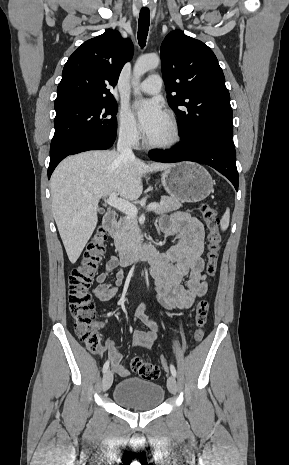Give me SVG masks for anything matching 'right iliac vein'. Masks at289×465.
<instances>
[{"label":"right iliac vein","mask_w":289,"mask_h":465,"mask_svg":"<svg viewBox=\"0 0 289 465\" xmlns=\"http://www.w3.org/2000/svg\"><path fill=\"white\" fill-rule=\"evenodd\" d=\"M112 382H113V373L110 370H108L105 372L103 379H102L103 391H107L111 387Z\"/></svg>","instance_id":"right-iliac-vein-1"}]
</instances>
